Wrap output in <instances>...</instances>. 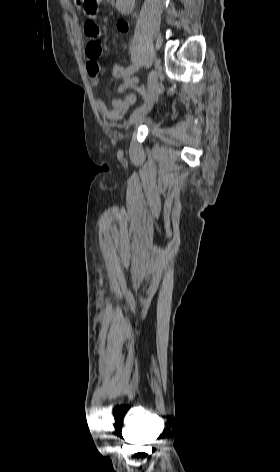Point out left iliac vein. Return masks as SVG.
<instances>
[{"label": "left iliac vein", "mask_w": 280, "mask_h": 472, "mask_svg": "<svg viewBox=\"0 0 280 472\" xmlns=\"http://www.w3.org/2000/svg\"><path fill=\"white\" fill-rule=\"evenodd\" d=\"M157 89L158 72L156 70H151L148 75L147 91L144 103L132 113L130 117V124L140 122L152 109L157 98Z\"/></svg>", "instance_id": "1"}]
</instances>
